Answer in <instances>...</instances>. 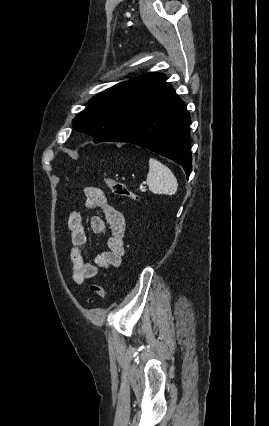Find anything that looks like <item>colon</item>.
<instances>
[{
  "instance_id": "5ec220e1",
  "label": "colon",
  "mask_w": 269,
  "mask_h": 426,
  "mask_svg": "<svg viewBox=\"0 0 269 426\" xmlns=\"http://www.w3.org/2000/svg\"><path fill=\"white\" fill-rule=\"evenodd\" d=\"M104 185L112 192V194L119 197H126L129 199H136L135 194L123 183L120 181H116L106 175L103 177ZM90 292L93 294V297L90 298V301L94 299H103L105 297L104 288L97 284L92 283L90 285Z\"/></svg>"
}]
</instances>
